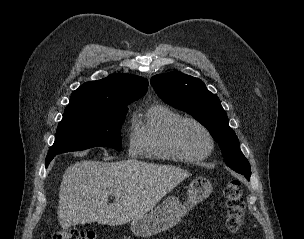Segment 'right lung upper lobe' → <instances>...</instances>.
I'll return each mask as SVG.
<instances>
[{"mask_svg":"<svg viewBox=\"0 0 304 239\" xmlns=\"http://www.w3.org/2000/svg\"><path fill=\"white\" fill-rule=\"evenodd\" d=\"M148 88L145 78L131 74H112L86 82L75 90L64 113L118 109L142 97Z\"/></svg>","mask_w":304,"mask_h":239,"instance_id":"cb5924a9","label":"right lung upper lobe"}]
</instances>
